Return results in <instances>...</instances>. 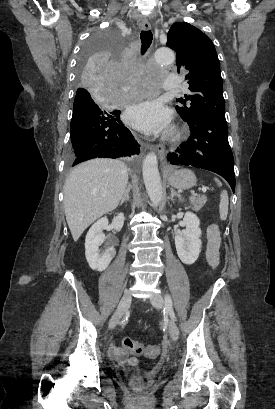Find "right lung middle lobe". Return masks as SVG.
I'll list each match as a JSON object with an SVG mask.
<instances>
[{"mask_svg": "<svg viewBox=\"0 0 275 409\" xmlns=\"http://www.w3.org/2000/svg\"><path fill=\"white\" fill-rule=\"evenodd\" d=\"M124 30H95L85 43L83 57L78 59L74 78L77 90L70 124L71 145L62 177L68 178L74 166L94 158H112L113 162H128L139 155L140 145L130 130L120 121L127 96H111L107 91H129V82H122L115 51H127ZM130 168H139L138 160Z\"/></svg>", "mask_w": 275, "mask_h": 409, "instance_id": "obj_1", "label": "right lung middle lobe"}]
</instances>
